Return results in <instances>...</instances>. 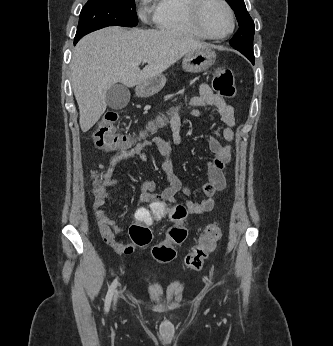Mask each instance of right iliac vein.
<instances>
[{"label": "right iliac vein", "mask_w": 333, "mask_h": 346, "mask_svg": "<svg viewBox=\"0 0 333 346\" xmlns=\"http://www.w3.org/2000/svg\"><path fill=\"white\" fill-rule=\"evenodd\" d=\"M118 298V294H116L115 300Z\"/></svg>", "instance_id": "right-iliac-vein-1"}]
</instances>
